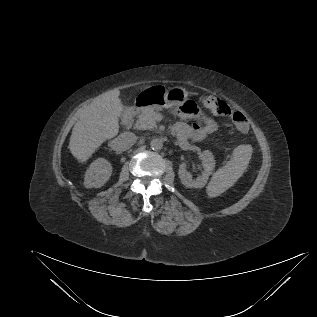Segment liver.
I'll list each match as a JSON object with an SVG mask.
<instances>
[{"mask_svg":"<svg viewBox=\"0 0 317 317\" xmlns=\"http://www.w3.org/2000/svg\"><path fill=\"white\" fill-rule=\"evenodd\" d=\"M119 95L118 89L107 91L81 111L68 146L80 163L86 162L104 141L118 134V117L123 112Z\"/></svg>","mask_w":317,"mask_h":317,"instance_id":"6515ba94","label":"liver"}]
</instances>
